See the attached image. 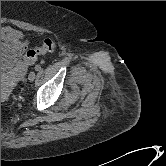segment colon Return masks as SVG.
Wrapping results in <instances>:
<instances>
[{"label":"colon","instance_id":"colon-1","mask_svg":"<svg viewBox=\"0 0 166 166\" xmlns=\"http://www.w3.org/2000/svg\"><path fill=\"white\" fill-rule=\"evenodd\" d=\"M56 49V43L52 39H45L41 46L27 51L25 55V62L29 63L39 56L46 53L53 52Z\"/></svg>","mask_w":166,"mask_h":166}]
</instances>
